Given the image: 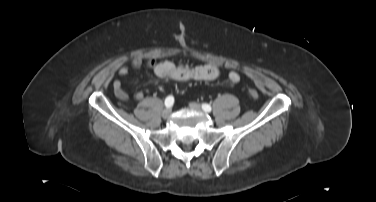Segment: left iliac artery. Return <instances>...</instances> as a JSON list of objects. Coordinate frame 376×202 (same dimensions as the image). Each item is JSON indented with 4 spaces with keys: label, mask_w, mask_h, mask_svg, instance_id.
Returning <instances> with one entry per match:
<instances>
[{
    "label": "left iliac artery",
    "mask_w": 376,
    "mask_h": 202,
    "mask_svg": "<svg viewBox=\"0 0 376 202\" xmlns=\"http://www.w3.org/2000/svg\"><path fill=\"white\" fill-rule=\"evenodd\" d=\"M202 109L205 111V112H210L212 110L211 106L209 104H206V103H203L202 104Z\"/></svg>",
    "instance_id": "44dca946"
}]
</instances>
